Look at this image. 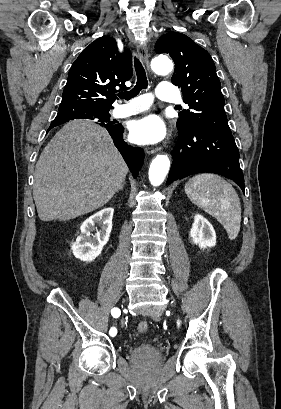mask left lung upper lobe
<instances>
[{"mask_svg": "<svg viewBox=\"0 0 281 409\" xmlns=\"http://www.w3.org/2000/svg\"><path fill=\"white\" fill-rule=\"evenodd\" d=\"M156 53L169 54L175 63L171 78L180 87L189 110L179 113L178 130L202 125L221 132L231 133L224 111V97L209 53L188 36L169 32L159 38Z\"/></svg>", "mask_w": 281, "mask_h": 409, "instance_id": "left-lung-upper-lobe-1", "label": "left lung upper lobe"}]
</instances>
